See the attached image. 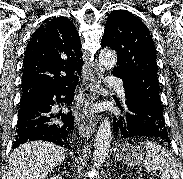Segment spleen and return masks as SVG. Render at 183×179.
<instances>
[{
  "label": "spleen",
  "instance_id": "spleen-1",
  "mask_svg": "<svg viewBox=\"0 0 183 179\" xmlns=\"http://www.w3.org/2000/svg\"><path fill=\"white\" fill-rule=\"evenodd\" d=\"M140 145L146 149L143 164L148 172L159 171L161 179H179L177 162L165 147L149 140Z\"/></svg>",
  "mask_w": 183,
  "mask_h": 179
}]
</instances>
